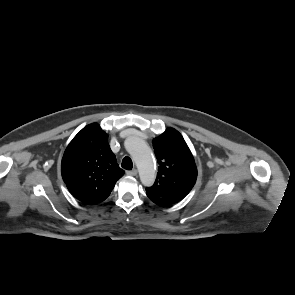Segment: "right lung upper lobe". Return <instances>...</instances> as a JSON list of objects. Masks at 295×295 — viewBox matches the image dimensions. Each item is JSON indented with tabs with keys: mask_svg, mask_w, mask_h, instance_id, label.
Instances as JSON below:
<instances>
[{
	"mask_svg": "<svg viewBox=\"0 0 295 295\" xmlns=\"http://www.w3.org/2000/svg\"><path fill=\"white\" fill-rule=\"evenodd\" d=\"M62 178L71 194L86 204L104 201L120 179L122 170L99 124L85 126L65 150Z\"/></svg>",
	"mask_w": 295,
	"mask_h": 295,
	"instance_id": "obj_1",
	"label": "right lung upper lobe"
}]
</instances>
